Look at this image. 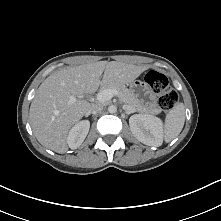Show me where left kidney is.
Returning a JSON list of instances; mask_svg holds the SVG:
<instances>
[{"instance_id":"5707ae66","label":"left kidney","mask_w":221,"mask_h":221,"mask_svg":"<svg viewBox=\"0 0 221 221\" xmlns=\"http://www.w3.org/2000/svg\"><path fill=\"white\" fill-rule=\"evenodd\" d=\"M132 134L143 144L159 147L163 142V123L150 114H135L129 118Z\"/></svg>"}]
</instances>
